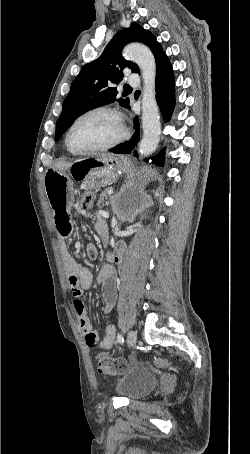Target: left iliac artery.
<instances>
[{
	"instance_id": "1",
	"label": "left iliac artery",
	"mask_w": 250,
	"mask_h": 454,
	"mask_svg": "<svg viewBox=\"0 0 250 454\" xmlns=\"http://www.w3.org/2000/svg\"><path fill=\"white\" fill-rule=\"evenodd\" d=\"M117 339H118V342L121 343V344L124 342V339H123L121 334H118Z\"/></svg>"
}]
</instances>
